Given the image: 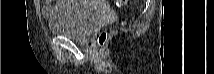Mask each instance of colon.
I'll return each instance as SVG.
<instances>
[{
	"label": "colon",
	"mask_w": 214,
	"mask_h": 74,
	"mask_svg": "<svg viewBox=\"0 0 214 74\" xmlns=\"http://www.w3.org/2000/svg\"><path fill=\"white\" fill-rule=\"evenodd\" d=\"M127 3V0H118L116 1V6L118 8H122L126 5ZM125 22H122V24H124ZM107 38H108V33L107 31H102L100 34H99V37H98V42L100 45H104L107 41Z\"/></svg>",
	"instance_id": "5ec220e1"
}]
</instances>
